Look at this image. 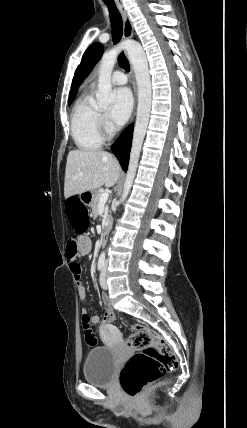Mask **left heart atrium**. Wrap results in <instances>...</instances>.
<instances>
[{
    "mask_svg": "<svg viewBox=\"0 0 247 428\" xmlns=\"http://www.w3.org/2000/svg\"><path fill=\"white\" fill-rule=\"evenodd\" d=\"M133 108V98L127 88H118L113 92V103L109 112L112 122L117 125L124 124Z\"/></svg>",
    "mask_w": 247,
    "mask_h": 428,
    "instance_id": "left-heart-atrium-1",
    "label": "left heart atrium"
}]
</instances>
